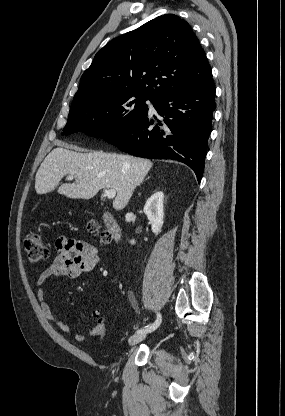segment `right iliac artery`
I'll list each match as a JSON object with an SVG mask.
<instances>
[{
  "label": "right iliac artery",
  "instance_id": "82829eb1",
  "mask_svg": "<svg viewBox=\"0 0 285 416\" xmlns=\"http://www.w3.org/2000/svg\"><path fill=\"white\" fill-rule=\"evenodd\" d=\"M161 320H162L161 315L157 313V319L155 320V322L150 325L145 326L143 329L137 330V333L154 331L160 325Z\"/></svg>",
  "mask_w": 285,
  "mask_h": 416
}]
</instances>
